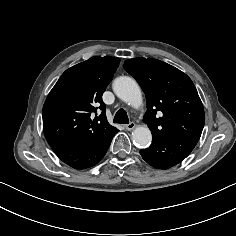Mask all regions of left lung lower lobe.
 <instances>
[{"label": "left lung lower lobe", "instance_id": "1", "mask_svg": "<svg viewBox=\"0 0 236 236\" xmlns=\"http://www.w3.org/2000/svg\"><path fill=\"white\" fill-rule=\"evenodd\" d=\"M197 142L198 139L179 137L152 139L151 146L140 150V154L151 166L168 169L184 160Z\"/></svg>", "mask_w": 236, "mask_h": 236}]
</instances>
